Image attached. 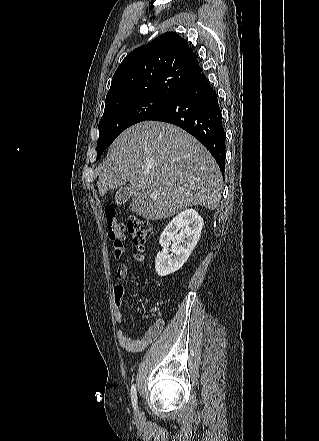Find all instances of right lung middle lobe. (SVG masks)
I'll return each instance as SVG.
<instances>
[{
	"mask_svg": "<svg viewBox=\"0 0 319 441\" xmlns=\"http://www.w3.org/2000/svg\"><path fill=\"white\" fill-rule=\"evenodd\" d=\"M170 100L147 96L124 101L105 109L99 122L97 160L122 131L136 123L148 120L168 105Z\"/></svg>",
	"mask_w": 319,
	"mask_h": 441,
	"instance_id": "right-lung-middle-lobe-1",
	"label": "right lung middle lobe"
}]
</instances>
